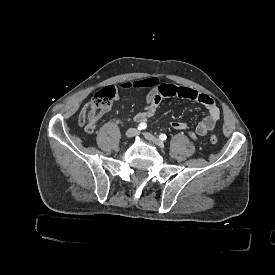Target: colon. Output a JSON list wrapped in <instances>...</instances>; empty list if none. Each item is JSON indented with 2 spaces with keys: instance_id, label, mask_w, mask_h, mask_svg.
Instances as JSON below:
<instances>
[{
  "instance_id": "obj_1",
  "label": "colon",
  "mask_w": 275,
  "mask_h": 275,
  "mask_svg": "<svg viewBox=\"0 0 275 275\" xmlns=\"http://www.w3.org/2000/svg\"><path fill=\"white\" fill-rule=\"evenodd\" d=\"M108 105H109L108 98L95 99L92 106L87 107L80 113L79 124L86 131L89 132L91 130V126L88 125L87 118H89L91 120L97 119V117L101 116V114L107 109ZM209 141L211 144H216L218 142V137L216 135H212L209 138Z\"/></svg>"
}]
</instances>
